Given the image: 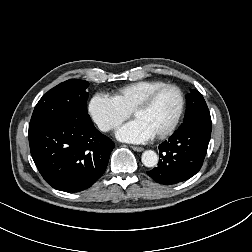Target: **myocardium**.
Returning <instances> with one entry per match:
<instances>
[{
    "instance_id": "1",
    "label": "myocardium",
    "mask_w": 252,
    "mask_h": 252,
    "mask_svg": "<svg viewBox=\"0 0 252 252\" xmlns=\"http://www.w3.org/2000/svg\"><path fill=\"white\" fill-rule=\"evenodd\" d=\"M166 89H173L177 92V94L179 96V107H178L176 116H175L174 120L172 121V123L170 124V126L167 129H165L164 131L155 135V137L158 139H164V138L170 136L176 130V128L182 118V115H183V112L185 109V103H186L185 95H184L182 89L175 84H164V85L150 91L131 110V115L133 116L136 112L148 108L151 105V103L153 102V100L155 99V97L160 92H162Z\"/></svg>"
}]
</instances>
